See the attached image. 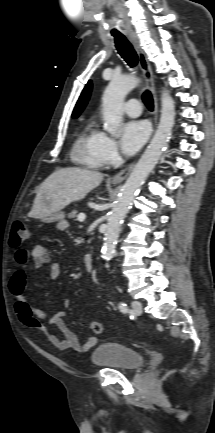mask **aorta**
<instances>
[{"label":"aorta","mask_w":215,"mask_h":433,"mask_svg":"<svg viewBox=\"0 0 215 433\" xmlns=\"http://www.w3.org/2000/svg\"><path fill=\"white\" fill-rule=\"evenodd\" d=\"M138 79L133 76L114 77L108 84L102 98V113L105 130L112 136L120 134L125 96L136 87ZM175 119V104L166 91L161 94V116L155 135L144 154L135 165L126 180L121 194L109 214L107 228L102 249L103 257L109 261L116 251L122 221L126 217L136 193L144 184L147 176L153 170L161 157Z\"/></svg>","instance_id":"aorta-1"}]
</instances>
